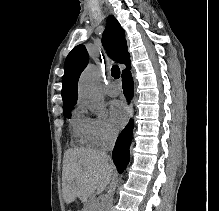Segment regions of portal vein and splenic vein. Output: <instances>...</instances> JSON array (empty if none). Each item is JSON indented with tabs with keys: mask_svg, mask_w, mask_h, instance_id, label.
Masks as SVG:
<instances>
[{
	"mask_svg": "<svg viewBox=\"0 0 219 211\" xmlns=\"http://www.w3.org/2000/svg\"><path fill=\"white\" fill-rule=\"evenodd\" d=\"M93 203H98V201H93Z\"/></svg>",
	"mask_w": 219,
	"mask_h": 211,
	"instance_id": "obj_1",
	"label": "portal vein and splenic vein"
}]
</instances>
